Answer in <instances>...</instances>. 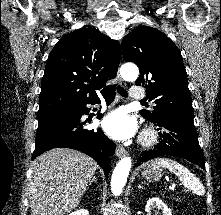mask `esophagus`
Listing matches in <instances>:
<instances>
[{"label":"esophagus","instance_id":"1","mask_svg":"<svg viewBox=\"0 0 221 215\" xmlns=\"http://www.w3.org/2000/svg\"><path fill=\"white\" fill-rule=\"evenodd\" d=\"M117 80L122 87H126V82L121 78L120 74L117 73ZM126 150L123 146L119 145L116 149V156L122 158L126 155Z\"/></svg>","mask_w":221,"mask_h":215}]
</instances>
